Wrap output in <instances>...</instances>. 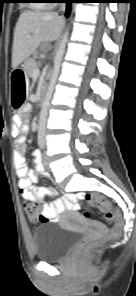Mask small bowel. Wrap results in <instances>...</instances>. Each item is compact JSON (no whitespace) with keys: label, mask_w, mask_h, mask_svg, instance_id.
<instances>
[{"label":"small bowel","mask_w":136,"mask_h":296,"mask_svg":"<svg viewBox=\"0 0 136 296\" xmlns=\"http://www.w3.org/2000/svg\"><path fill=\"white\" fill-rule=\"evenodd\" d=\"M29 107H25L14 116V123L19 133L15 141V165L17 176L19 177V189L22 197L26 200L45 203L47 197L56 198L58 193L53 188L35 187V182L38 179L39 173L45 178H50V174L44 168L41 162V154L39 151L33 152V165L28 167L24 156L26 150V135L29 127L26 122L27 112ZM76 196L68 194L63 198L50 205H44L40 216L48 222H57L65 211H70L73 208ZM32 221L37 220V216H31Z\"/></svg>","instance_id":"1"}]
</instances>
